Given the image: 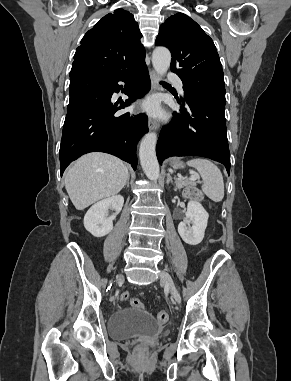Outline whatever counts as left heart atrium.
<instances>
[{
  "label": "left heart atrium",
  "instance_id": "obj_1",
  "mask_svg": "<svg viewBox=\"0 0 291 381\" xmlns=\"http://www.w3.org/2000/svg\"><path fill=\"white\" fill-rule=\"evenodd\" d=\"M143 108L148 111L150 114L158 116L161 114V109L157 99H149L144 105Z\"/></svg>",
  "mask_w": 291,
  "mask_h": 381
}]
</instances>
